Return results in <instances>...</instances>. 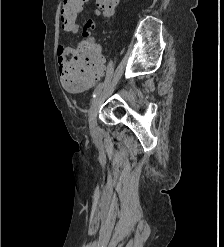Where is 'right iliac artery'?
Wrapping results in <instances>:
<instances>
[{
  "label": "right iliac artery",
  "instance_id": "1",
  "mask_svg": "<svg viewBox=\"0 0 224 247\" xmlns=\"http://www.w3.org/2000/svg\"><path fill=\"white\" fill-rule=\"evenodd\" d=\"M102 88H103V83H100L96 88H95V90H94V92H93V98H95L99 93H100V91L102 90Z\"/></svg>",
  "mask_w": 224,
  "mask_h": 247
}]
</instances>
